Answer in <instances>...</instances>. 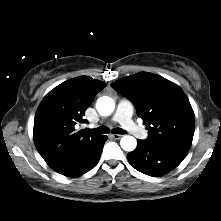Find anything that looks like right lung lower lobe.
I'll return each instance as SVG.
<instances>
[{
  "label": "right lung lower lobe",
  "instance_id": "98d812e1",
  "mask_svg": "<svg viewBox=\"0 0 221 221\" xmlns=\"http://www.w3.org/2000/svg\"><path fill=\"white\" fill-rule=\"evenodd\" d=\"M106 140L107 136L103 135L96 149L90 155H88L84 160L78 163L74 168L64 173L63 175L69 177H76L92 169L100 159L102 148Z\"/></svg>",
  "mask_w": 221,
  "mask_h": 221
}]
</instances>
